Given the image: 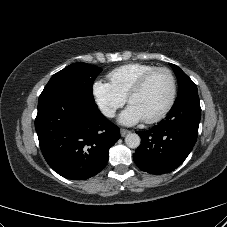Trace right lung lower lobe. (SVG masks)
I'll list each match as a JSON object with an SVG mask.
<instances>
[{"instance_id": "98d812e1", "label": "right lung lower lobe", "mask_w": 227, "mask_h": 227, "mask_svg": "<svg viewBox=\"0 0 227 227\" xmlns=\"http://www.w3.org/2000/svg\"><path fill=\"white\" fill-rule=\"evenodd\" d=\"M35 128L49 166L72 180L98 174L120 138L119 128L100 113L94 100L69 88L41 93Z\"/></svg>"}]
</instances>
